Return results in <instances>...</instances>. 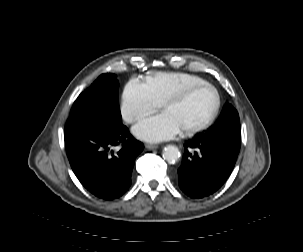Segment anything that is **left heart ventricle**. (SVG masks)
Here are the masks:
<instances>
[{"label":"left heart ventricle","mask_w":303,"mask_h":252,"mask_svg":"<svg viewBox=\"0 0 303 252\" xmlns=\"http://www.w3.org/2000/svg\"><path fill=\"white\" fill-rule=\"evenodd\" d=\"M214 107V95L210 89H201L193 93L185 102L167 108L180 130H189L203 124L211 115Z\"/></svg>","instance_id":"left-heart-ventricle-1"}]
</instances>
